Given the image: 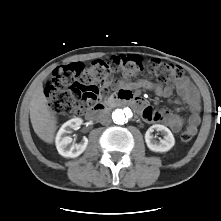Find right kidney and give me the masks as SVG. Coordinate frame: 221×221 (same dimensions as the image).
<instances>
[{
    "mask_svg": "<svg viewBox=\"0 0 221 221\" xmlns=\"http://www.w3.org/2000/svg\"><path fill=\"white\" fill-rule=\"evenodd\" d=\"M81 118H73L65 122L59 129L56 135V148L60 155L66 158H75L81 155L87 145L88 139L86 137L78 144H72V138L68 135L72 130H76L82 124Z\"/></svg>",
    "mask_w": 221,
    "mask_h": 221,
    "instance_id": "ca27d5eb",
    "label": "right kidney"
}]
</instances>
